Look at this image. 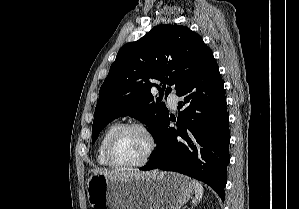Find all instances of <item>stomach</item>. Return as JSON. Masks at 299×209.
Masks as SVG:
<instances>
[{"label": "stomach", "instance_id": "0dacf381", "mask_svg": "<svg viewBox=\"0 0 299 209\" xmlns=\"http://www.w3.org/2000/svg\"><path fill=\"white\" fill-rule=\"evenodd\" d=\"M86 189L93 209H180L194 190L188 177L157 170L122 180L94 173Z\"/></svg>", "mask_w": 299, "mask_h": 209}]
</instances>
